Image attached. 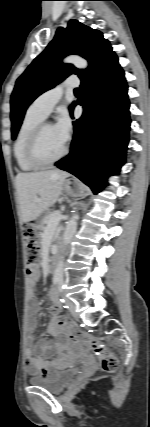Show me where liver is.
I'll use <instances>...</instances> for the list:
<instances>
[{"label": "liver", "mask_w": 150, "mask_h": 427, "mask_svg": "<svg viewBox=\"0 0 150 427\" xmlns=\"http://www.w3.org/2000/svg\"><path fill=\"white\" fill-rule=\"evenodd\" d=\"M68 176V173L59 170L19 173L16 176V189L22 220H34L55 204ZM36 198L39 202L35 201Z\"/></svg>", "instance_id": "6515ba94"}]
</instances>
